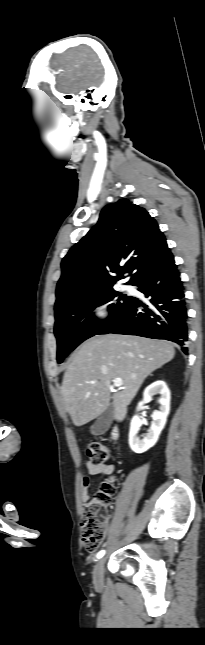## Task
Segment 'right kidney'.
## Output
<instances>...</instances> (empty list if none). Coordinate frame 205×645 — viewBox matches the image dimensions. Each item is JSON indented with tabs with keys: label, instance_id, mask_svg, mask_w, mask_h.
Segmentation results:
<instances>
[{
	"label": "right kidney",
	"instance_id": "obj_1",
	"mask_svg": "<svg viewBox=\"0 0 205 645\" xmlns=\"http://www.w3.org/2000/svg\"><path fill=\"white\" fill-rule=\"evenodd\" d=\"M160 394V407L152 414V423L147 433L141 437L138 435L142 420L138 416H134L131 420L129 431V445L135 453H143L153 447L163 430L167 416L170 411V391L164 381H156L149 385L143 393L142 401L137 406V411L143 409V405L152 400V396Z\"/></svg>",
	"mask_w": 205,
	"mask_h": 645
}]
</instances>
